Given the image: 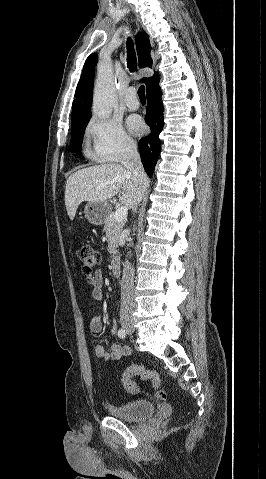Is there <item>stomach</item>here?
I'll use <instances>...</instances> for the list:
<instances>
[{
  "label": "stomach",
  "mask_w": 266,
  "mask_h": 479,
  "mask_svg": "<svg viewBox=\"0 0 266 479\" xmlns=\"http://www.w3.org/2000/svg\"><path fill=\"white\" fill-rule=\"evenodd\" d=\"M111 211V206L108 202L102 201H91L88 202L85 206V215L88 221L94 225L103 224Z\"/></svg>",
  "instance_id": "1"
}]
</instances>
